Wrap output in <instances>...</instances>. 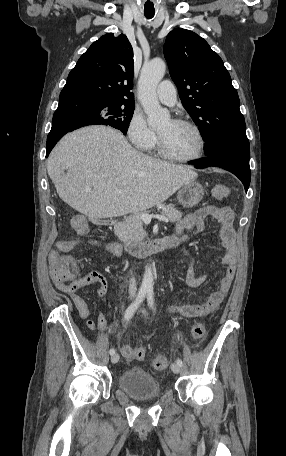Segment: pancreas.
<instances>
[{
	"instance_id": "cf45deb5",
	"label": "pancreas",
	"mask_w": 286,
	"mask_h": 456,
	"mask_svg": "<svg viewBox=\"0 0 286 456\" xmlns=\"http://www.w3.org/2000/svg\"><path fill=\"white\" fill-rule=\"evenodd\" d=\"M148 213V212H146ZM161 215L167 217L170 222H177L181 219L182 213L173 204L163 205L160 209ZM142 213L129 216L122 223L115 226L114 233L118 239L126 245L141 242L147 236L143 228Z\"/></svg>"
}]
</instances>
